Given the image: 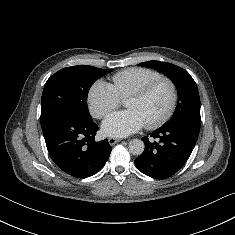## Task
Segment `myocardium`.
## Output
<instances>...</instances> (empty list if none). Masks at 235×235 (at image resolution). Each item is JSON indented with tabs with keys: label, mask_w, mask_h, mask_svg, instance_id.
I'll return each mask as SVG.
<instances>
[{
	"label": "myocardium",
	"mask_w": 235,
	"mask_h": 235,
	"mask_svg": "<svg viewBox=\"0 0 235 235\" xmlns=\"http://www.w3.org/2000/svg\"><path fill=\"white\" fill-rule=\"evenodd\" d=\"M161 84H166L169 87L170 94H171L170 103H169L167 110L162 116H160L158 119L152 122L146 123V127L149 129H154L163 125L173 115L176 109L177 103H178V90H177L175 83L169 78L159 77L158 79L148 83L142 88L134 91L127 97V99L128 98L143 99L147 97L149 94H151L154 91V89H156Z\"/></svg>",
	"instance_id": "1"
}]
</instances>
